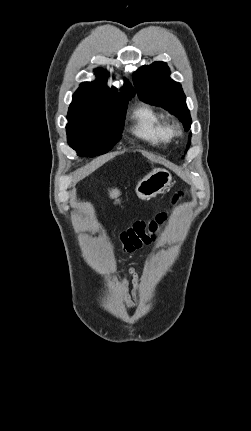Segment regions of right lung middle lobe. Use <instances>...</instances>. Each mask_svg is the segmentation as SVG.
Returning <instances> with one entry per match:
<instances>
[{
    "instance_id": "dd1d6c3e",
    "label": "right lung middle lobe",
    "mask_w": 251,
    "mask_h": 431,
    "mask_svg": "<svg viewBox=\"0 0 251 431\" xmlns=\"http://www.w3.org/2000/svg\"><path fill=\"white\" fill-rule=\"evenodd\" d=\"M129 100L76 92L67 116L69 146L86 157L108 152L120 139Z\"/></svg>"
}]
</instances>
